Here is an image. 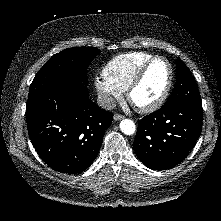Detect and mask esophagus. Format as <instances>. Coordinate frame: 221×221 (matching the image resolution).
<instances>
[{"instance_id": "esophagus-1", "label": "esophagus", "mask_w": 221, "mask_h": 221, "mask_svg": "<svg viewBox=\"0 0 221 221\" xmlns=\"http://www.w3.org/2000/svg\"><path fill=\"white\" fill-rule=\"evenodd\" d=\"M122 118H123V115L118 114V113L114 114V117H113V119H114L115 121L121 120Z\"/></svg>"}]
</instances>
